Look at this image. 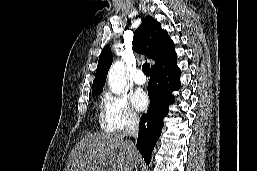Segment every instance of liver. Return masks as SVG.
Listing matches in <instances>:
<instances>
[{"label": "liver", "instance_id": "1", "mask_svg": "<svg viewBox=\"0 0 257 171\" xmlns=\"http://www.w3.org/2000/svg\"><path fill=\"white\" fill-rule=\"evenodd\" d=\"M123 134H89L72 149L65 171H131L140 161Z\"/></svg>", "mask_w": 257, "mask_h": 171}]
</instances>
